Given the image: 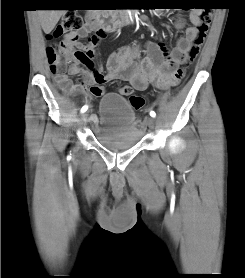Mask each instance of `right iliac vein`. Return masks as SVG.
Wrapping results in <instances>:
<instances>
[{
	"label": "right iliac vein",
	"mask_w": 245,
	"mask_h": 278,
	"mask_svg": "<svg viewBox=\"0 0 245 278\" xmlns=\"http://www.w3.org/2000/svg\"><path fill=\"white\" fill-rule=\"evenodd\" d=\"M87 118H88V113L83 114L81 117L82 122L86 121Z\"/></svg>",
	"instance_id": "63e3f726"
}]
</instances>
